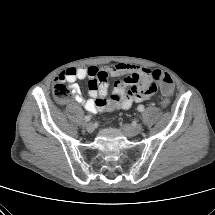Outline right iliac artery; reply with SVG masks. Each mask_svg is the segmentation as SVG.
Returning a JSON list of instances; mask_svg holds the SVG:
<instances>
[{
    "instance_id": "1",
    "label": "right iliac artery",
    "mask_w": 215,
    "mask_h": 215,
    "mask_svg": "<svg viewBox=\"0 0 215 215\" xmlns=\"http://www.w3.org/2000/svg\"><path fill=\"white\" fill-rule=\"evenodd\" d=\"M90 120H91V116H90V115H87V116L85 117V121L88 122V121H90Z\"/></svg>"
}]
</instances>
